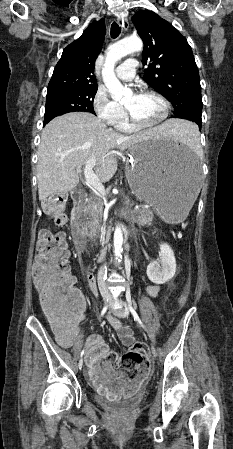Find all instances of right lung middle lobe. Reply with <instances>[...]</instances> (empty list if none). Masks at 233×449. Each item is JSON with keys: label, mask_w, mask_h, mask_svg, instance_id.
<instances>
[{"label": "right lung middle lobe", "mask_w": 233, "mask_h": 449, "mask_svg": "<svg viewBox=\"0 0 233 449\" xmlns=\"http://www.w3.org/2000/svg\"><path fill=\"white\" fill-rule=\"evenodd\" d=\"M97 88L59 90L47 94L44 125L54 117L76 111L95 114L93 99Z\"/></svg>", "instance_id": "dd1d6c3e"}]
</instances>
